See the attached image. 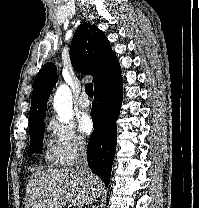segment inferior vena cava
<instances>
[{
  "instance_id": "602c4592",
  "label": "inferior vena cava",
  "mask_w": 199,
  "mask_h": 208,
  "mask_svg": "<svg viewBox=\"0 0 199 208\" xmlns=\"http://www.w3.org/2000/svg\"><path fill=\"white\" fill-rule=\"evenodd\" d=\"M75 168H76V171L84 174L85 176L89 177L92 175L89 170L88 163H87V154H86V147H85L84 142H79V145L77 148V155L75 159Z\"/></svg>"
}]
</instances>
